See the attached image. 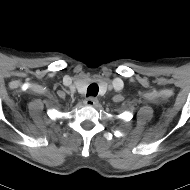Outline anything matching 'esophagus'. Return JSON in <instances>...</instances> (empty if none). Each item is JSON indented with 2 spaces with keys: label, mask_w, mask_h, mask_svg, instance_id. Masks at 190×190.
<instances>
[{
  "label": "esophagus",
  "mask_w": 190,
  "mask_h": 190,
  "mask_svg": "<svg viewBox=\"0 0 190 190\" xmlns=\"http://www.w3.org/2000/svg\"><path fill=\"white\" fill-rule=\"evenodd\" d=\"M98 100L95 97H88L85 99L84 104L87 106H95Z\"/></svg>",
  "instance_id": "obj_1"
}]
</instances>
